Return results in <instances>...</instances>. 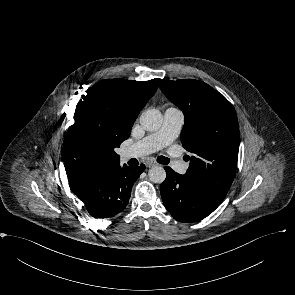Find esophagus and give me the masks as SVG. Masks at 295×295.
<instances>
[{"label": "esophagus", "instance_id": "esophagus-1", "mask_svg": "<svg viewBox=\"0 0 295 295\" xmlns=\"http://www.w3.org/2000/svg\"><path fill=\"white\" fill-rule=\"evenodd\" d=\"M145 165L150 168V167H153V166L157 165V163L153 159H148L145 162Z\"/></svg>", "mask_w": 295, "mask_h": 295}]
</instances>
